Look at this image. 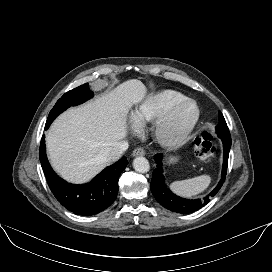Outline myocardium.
<instances>
[{
    "mask_svg": "<svg viewBox=\"0 0 272 272\" xmlns=\"http://www.w3.org/2000/svg\"><path fill=\"white\" fill-rule=\"evenodd\" d=\"M192 104L195 107V115L189 126L181 133L170 135L166 132V127L175 111L185 105ZM200 107L198 103L190 98H184L171 104L155 121L154 137L156 141L165 148H176L186 143L192 136L200 120Z\"/></svg>",
    "mask_w": 272,
    "mask_h": 272,
    "instance_id": "f54148a6",
    "label": "myocardium"
}]
</instances>
